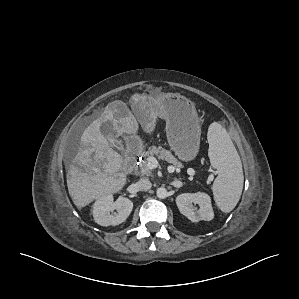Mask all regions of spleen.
<instances>
[{
	"label": "spleen",
	"mask_w": 299,
	"mask_h": 299,
	"mask_svg": "<svg viewBox=\"0 0 299 299\" xmlns=\"http://www.w3.org/2000/svg\"><path fill=\"white\" fill-rule=\"evenodd\" d=\"M207 139L208 155L218 174L212 187L214 200L221 211L228 213L235 208L242 194V163L229 134L219 123L210 124Z\"/></svg>",
	"instance_id": "obj_1"
}]
</instances>
